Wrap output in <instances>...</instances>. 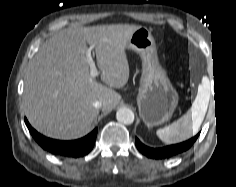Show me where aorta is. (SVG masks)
I'll return each instance as SVG.
<instances>
[{
	"label": "aorta",
	"mask_w": 236,
	"mask_h": 187,
	"mask_svg": "<svg viewBox=\"0 0 236 187\" xmlns=\"http://www.w3.org/2000/svg\"><path fill=\"white\" fill-rule=\"evenodd\" d=\"M116 119L123 124H132L134 121V113L131 109L123 107L118 109Z\"/></svg>",
	"instance_id": "obj_1"
}]
</instances>
